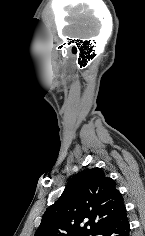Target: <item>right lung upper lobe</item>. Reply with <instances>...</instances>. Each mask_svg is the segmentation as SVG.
Instances as JSON below:
<instances>
[{"mask_svg": "<svg viewBox=\"0 0 145 236\" xmlns=\"http://www.w3.org/2000/svg\"><path fill=\"white\" fill-rule=\"evenodd\" d=\"M124 207L113 179L101 168L84 170L70 180L61 197L46 211L34 236L94 234Z\"/></svg>", "mask_w": 145, "mask_h": 236, "instance_id": "1", "label": "right lung upper lobe"}]
</instances>
